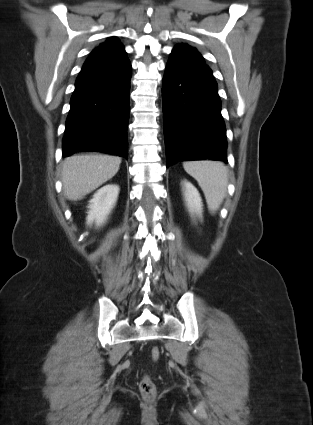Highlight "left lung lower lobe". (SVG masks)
Wrapping results in <instances>:
<instances>
[{"label":"left lung lower lobe","instance_id":"left-lung-lower-lobe-1","mask_svg":"<svg viewBox=\"0 0 313 425\" xmlns=\"http://www.w3.org/2000/svg\"><path fill=\"white\" fill-rule=\"evenodd\" d=\"M162 98L167 167L200 159L227 162L221 100L209 67L170 55Z\"/></svg>","mask_w":313,"mask_h":425}]
</instances>
